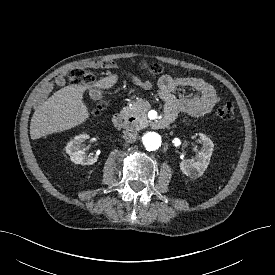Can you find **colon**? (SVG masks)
I'll list each match as a JSON object with an SVG mask.
<instances>
[{"mask_svg":"<svg viewBox=\"0 0 275 275\" xmlns=\"http://www.w3.org/2000/svg\"><path fill=\"white\" fill-rule=\"evenodd\" d=\"M113 62L110 60H103L99 62H91L89 63V66L91 67H97V66H102L106 68H110L113 66ZM141 69L146 71L152 76H158L162 73L163 68L159 64H142ZM67 79L76 85H84V86H89L92 84L94 81V77L91 73L87 72L84 68L82 67H74L70 69L67 72ZM105 107L104 102H98L94 105L92 109V114L93 115H98ZM217 115L223 119V120H230L234 117V107L231 103H225L222 106H220L217 109Z\"/></svg>","mask_w":275,"mask_h":275,"instance_id":"obj_1","label":"colon"}]
</instances>
